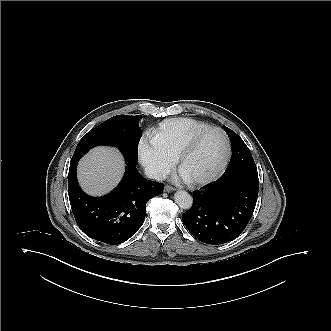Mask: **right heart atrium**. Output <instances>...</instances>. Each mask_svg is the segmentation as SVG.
I'll list each match as a JSON object with an SVG mask.
<instances>
[{"label":"right heart atrium","mask_w":331,"mask_h":331,"mask_svg":"<svg viewBox=\"0 0 331 331\" xmlns=\"http://www.w3.org/2000/svg\"><path fill=\"white\" fill-rule=\"evenodd\" d=\"M139 160L146 171L154 178H163L173 168L174 156L158 149L147 138H143L138 147Z\"/></svg>","instance_id":"right-heart-atrium-1"}]
</instances>
